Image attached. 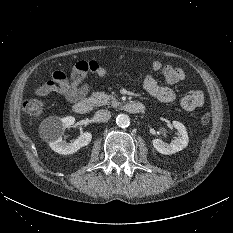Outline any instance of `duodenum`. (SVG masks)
Wrapping results in <instances>:
<instances>
[{"mask_svg":"<svg viewBox=\"0 0 233 233\" xmlns=\"http://www.w3.org/2000/svg\"><path fill=\"white\" fill-rule=\"evenodd\" d=\"M95 101L91 98L78 99L73 104V110L77 114L89 113L94 107ZM123 109L128 113H141L144 111L145 107L141 102L129 101L123 105Z\"/></svg>","mask_w":233,"mask_h":233,"instance_id":"duodenum-1","label":"duodenum"}]
</instances>
